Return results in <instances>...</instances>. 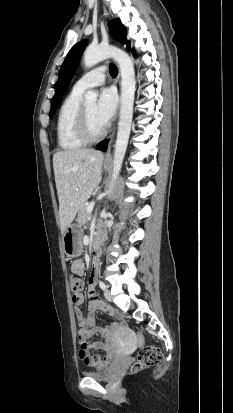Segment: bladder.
Masks as SVG:
<instances>
[{
    "instance_id": "1",
    "label": "bladder",
    "mask_w": 233,
    "mask_h": 413,
    "mask_svg": "<svg viewBox=\"0 0 233 413\" xmlns=\"http://www.w3.org/2000/svg\"><path fill=\"white\" fill-rule=\"evenodd\" d=\"M83 375L98 381H108L113 377L114 369L109 366L95 371H85L83 372Z\"/></svg>"
}]
</instances>
